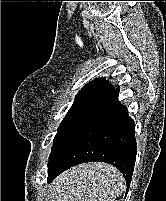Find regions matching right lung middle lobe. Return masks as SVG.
Instances as JSON below:
<instances>
[{
	"mask_svg": "<svg viewBox=\"0 0 166 201\" xmlns=\"http://www.w3.org/2000/svg\"><path fill=\"white\" fill-rule=\"evenodd\" d=\"M106 97H91L74 101L66 117L59 126L54 138L49 160H51L61 146L80 128V126L102 105Z\"/></svg>",
	"mask_w": 166,
	"mask_h": 201,
	"instance_id": "dd1d6c3e",
	"label": "right lung middle lobe"
}]
</instances>
